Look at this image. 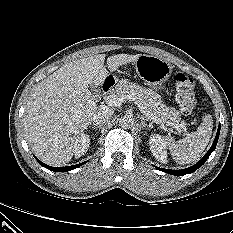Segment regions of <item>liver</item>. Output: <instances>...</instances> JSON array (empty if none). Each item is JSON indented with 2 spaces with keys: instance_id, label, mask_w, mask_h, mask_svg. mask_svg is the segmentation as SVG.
<instances>
[{
  "instance_id": "1",
  "label": "liver",
  "mask_w": 233,
  "mask_h": 233,
  "mask_svg": "<svg viewBox=\"0 0 233 233\" xmlns=\"http://www.w3.org/2000/svg\"><path fill=\"white\" fill-rule=\"evenodd\" d=\"M140 55L118 54L107 58L110 72L135 62ZM105 54L93 55L61 66L30 94L23 118L26 139L44 163H68L75 140L83 134L98 107L88 87L100 86L109 72Z\"/></svg>"
}]
</instances>
